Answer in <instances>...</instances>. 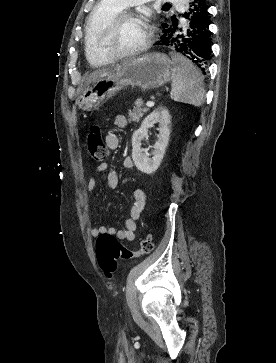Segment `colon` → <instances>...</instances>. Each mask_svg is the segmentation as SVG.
I'll list each match as a JSON object with an SVG mask.
<instances>
[{"instance_id": "colon-1", "label": "colon", "mask_w": 276, "mask_h": 363, "mask_svg": "<svg viewBox=\"0 0 276 363\" xmlns=\"http://www.w3.org/2000/svg\"><path fill=\"white\" fill-rule=\"evenodd\" d=\"M88 151L95 162H103L107 158V147L104 143L102 130L98 125H92L87 134ZM152 235L146 233L140 241L137 250H131L122 245L110 234H100L96 239V257L102 272L111 277L117 270L119 259H132L147 255L153 251Z\"/></svg>"}]
</instances>
